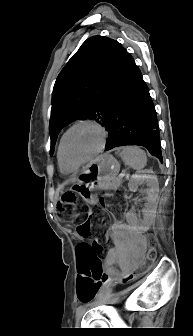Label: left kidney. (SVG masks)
Wrapping results in <instances>:
<instances>
[{
  "label": "left kidney",
  "instance_id": "1",
  "mask_svg": "<svg viewBox=\"0 0 193 336\" xmlns=\"http://www.w3.org/2000/svg\"><path fill=\"white\" fill-rule=\"evenodd\" d=\"M142 184H146L147 189V203L143 210V220L139 221L133 212L126 213L127 222L136 230L147 231L154 222L157 209V197L159 192V185L157 176L153 174L152 170H143L136 174H133L129 180V190L135 192Z\"/></svg>",
  "mask_w": 193,
  "mask_h": 336
}]
</instances>
